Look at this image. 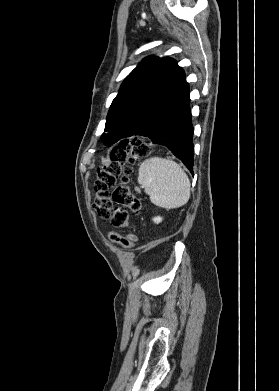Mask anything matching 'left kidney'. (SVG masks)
Segmentation results:
<instances>
[{"label": "left kidney", "mask_w": 279, "mask_h": 391, "mask_svg": "<svg viewBox=\"0 0 279 391\" xmlns=\"http://www.w3.org/2000/svg\"><path fill=\"white\" fill-rule=\"evenodd\" d=\"M153 221H154V223L158 224L162 221V217H160V216L154 217Z\"/></svg>", "instance_id": "left-kidney-1"}]
</instances>
